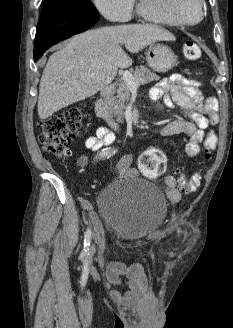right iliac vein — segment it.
Wrapping results in <instances>:
<instances>
[{
    "label": "right iliac vein",
    "instance_id": "right-iliac-vein-1",
    "mask_svg": "<svg viewBox=\"0 0 233 328\" xmlns=\"http://www.w3.org/2000/svg\"><path fill=\"white\" fill-rule=\"evenodd\" d=\"M94 253H95V247H94V245H92V246L90 247V251H89V253H88V260H89V261L92 259Z\"/></svg>",
    "mask_w": 233,
    "mask_h": 328
}]
</instances>
